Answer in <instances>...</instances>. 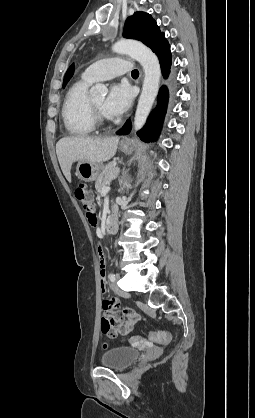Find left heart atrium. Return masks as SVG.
Returning a JSON list of instances; mask_svg holds the SVG:
<instances>
[{
    "instance_id": "left-heart-atrium-1",
    "label": "left heart atrium",
    "mask_w": 255,
    "mask_h": 418,
    "mask_svg": "<svg viewBox=\"0 0 255 418\" xmlns=\"http://www.w3.org/2000/svg\"><path fill=\"white\" fill-rule=\"evenodd\" d=\"M132 93L126 84H114L103 103V114L109 118H116L123 114L130 106Z\"/></svg>"
}]
</instances>
